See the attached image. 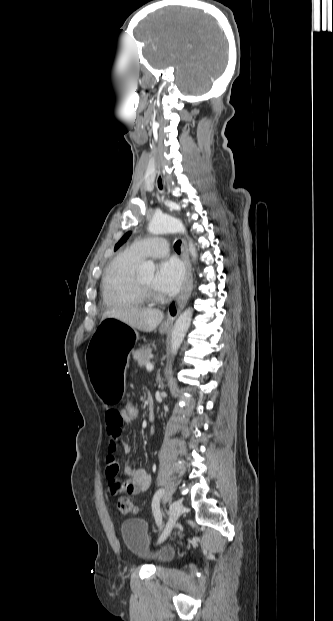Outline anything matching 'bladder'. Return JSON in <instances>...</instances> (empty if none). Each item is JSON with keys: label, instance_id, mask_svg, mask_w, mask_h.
<instances>
[{"label": "bladder", "instance_id": "bladder-1", "mask_svg": "<svg viewBox=\"0 0 333 621\" xmlns=\"http://www.w3.org/2000/svg\"><path fill=\"white\" fill-rule=\"evenodd\" d=\"M121 539L126 550L142 560H150L155 564H164L173 557V550L170 546L153 545L148 524L137 518H130L121 523Z\"/></svg>", "mask_w": 333, "mask_h": 621}]
</instances>
